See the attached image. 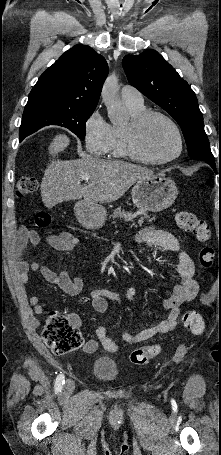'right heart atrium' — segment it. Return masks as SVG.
Listing matches in <instances>:
<instances>
[{
	"label": "right heart atrium",
	"mask_w": 221,
	"mask_h": 455,
	"mask_svg": "<svg viewBox=\"0 0 221 455\" xmlns=\"http://www.w3.org/2000/svg\"><path fill=\"white\" fill-rule=\"evenodd\" d=\"M111 126L101 112L94 110L86 119L83 127V137L86 150L97 156L107 153L110 140Z\"/></svg>",
	"instance_id": "right-heart-atrium-1"
}]
</instances>
